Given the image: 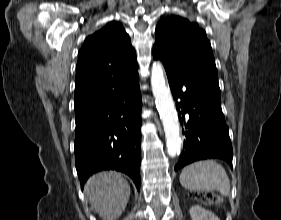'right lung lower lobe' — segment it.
<instances>
[{
    "label": "right lung lower lobe",
    "mask_w": 281,
    "mask_h": 220,
    "mask_svg": "<svg viewBox=\"0 0 281 220\" xmlns=\"http://www.w3.org/2000/svg\"><path fill=\"white\" fill-rule=\"evenodd\" d=\"M141 93L129 87L75 108V162L81 186L94 173L117 170L140 189Z\"/></svg>",
    "instance_id": "obj_1"
}]
</instances>
